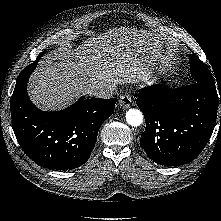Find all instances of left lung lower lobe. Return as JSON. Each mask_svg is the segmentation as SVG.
Segmentation results:
<instances>
[{
	"instance_id": "obj_1",
	"label": "left lung lower lobe",
	"mask_w": 221,
	"mask_h": 221,
	"mask_svg": "<svg viewBox=\"0 0 221 221\" xmlns=\"http://www.w3.org/2000/svg\"><path fill=\"white\" fill-rule=\"evenodd\" d=\"M219 103L220 89L202 82L177 89L160 85L141 89L137 106L144 114L146 129L140 146L160 165L192 161L213 133Z\"/></svg>"
}]
</instances>
